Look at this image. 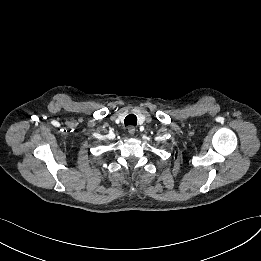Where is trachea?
<instances>
[{
	"label": "trachea",
	"instance_id": "trachea-1",
	"mask_svg": "<svg viewBox=\"0 0 261 261\" xmlns=\"http://www.w3.org/2000/svg\"><path fill=\"white\" fill-rule=\"evenodd\" d=\"M125 125H135L137 124V117L134 114H130L125 118Z\"/></svg>",
	"mask_w": 261,
	"mask_h": 261
}]
</instances>
